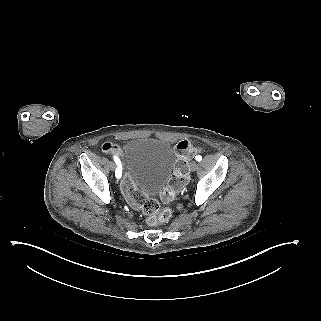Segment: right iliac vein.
Instances as JSON below:
<instances>
[{"mask_svg":"<svg viewBox=\"0 0 321 321\" xmlns=\"http://www.w3.org/2000/svg\"><path fill=\"white\" fill-rule=\"evenodd\" d=\"M110 169L113 171L115 169V164L113 162L110 163Z\"/></svg>","mask_w":321,"mask_h":321,"instance_id":"63e3f726","label":"right iliac vein"}]
</instances>
